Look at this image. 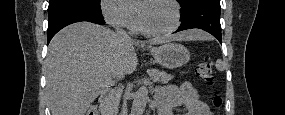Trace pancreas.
<instances>
[{
	"label": "pancreas",
	"instance_id": "pancreas-1",
	"mask_svg": "<svg viewBox=\"0 0 285 115\" xmlns=\"http://www.w3.org/2000/svg\"><path fill=\"white\" fill-rule=\"evenodd\" d=\"M150 76L153 78L154 81L162 82L163 84L168 83L170 80H172L174 77L170 74L160 71L158 69H153L150 72ZM122 89L116 88L111 91L110 93V102L113 107H117L119 104V100L121 97Z\"/></svg>",
	"mask_w": 285,
	"mask_h": 115
}]
</instances>
